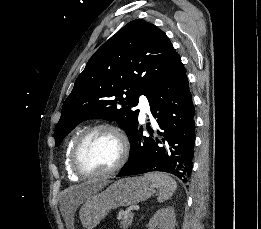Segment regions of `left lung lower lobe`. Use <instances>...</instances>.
Instances as JSON below:
<instances>
[{
	"mask_svg": "<svg viewBox=\"0 0 261 229\" xmlns=\"http://www.w3.org/2000/svg\"><path fill=\"white\" fill-rule=\"evenodd\" d=\"M160 131L130 137V157L116 177L162 171L181 180L190 177L194 157L195 122L186 69L181 63L164 77L147 96Z\"/></svg>",
	"mask_w": 261,
	"mask_h": 229,
	"instance_id": "obj_1",
	"label": "left lung lower lobe"
}]
</instances>
